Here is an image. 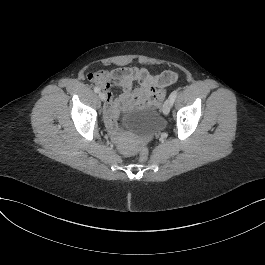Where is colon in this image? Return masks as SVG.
Segmentation results:
<instances>
[{
	"mask_svg": "<svg viewBox=\"0 0 265 265\" xmlns=\"http://www.w3.org/2000/svg\"><path fill=\"white\" fill-rule=\"evenodd\" d=\"M100 75V72H97L95 74H93V76L98 77ZM149 156V151L147 149V147H141L140 151H139V161L141 163H144L147 161Z\"/></svg>",
	"mask_w": 265,
	"mask_h": 265,
	"instance_id": "colon-1",
	"label": "colon"
}]
</instances>
